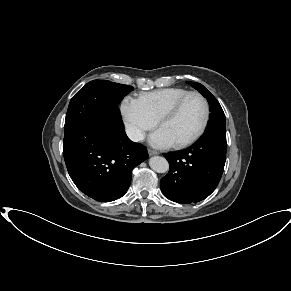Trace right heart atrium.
Listing matches in <instances>:
<instances>
[{"label": "right heart atrium", "instance_id": "d8ad5b80", "mask_svg": "<svg viewBox=\"0 0 291 291\" xmlns=\"http://www.w3.org/2000/svg\"><path fill=\"white\" fill-rule=\"evenodd\" d=\"M120 111L126 132L133 141L142 140L145 133L156 126V121L150 117L139 99L125 97Z\"/></svg>", "mask_w": 291, "mask_h": 291}]
</instances>
